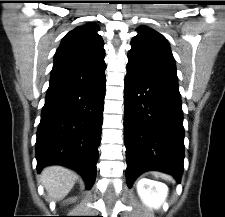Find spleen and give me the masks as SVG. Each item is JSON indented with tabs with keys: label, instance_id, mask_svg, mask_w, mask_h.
I'll use <instances>...</instances> for the list:
<instances>
[{
	"label": "spleen",
	"instance_id": "obj_1",
	"mask_svg": "<svg viewBox=\"0 0 225 217\" xmlns=\"http://www.w3.org/2000/svg\"><path fill=\"white\" fill-rule=\"evenodd\" d=\"M155 177H161L165 180H171V177L166 175V174H162V173H155Z\"/></svg>",
	"mask_w": 225,
	"mask_h": 217
}]
</instances>
